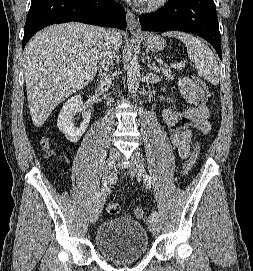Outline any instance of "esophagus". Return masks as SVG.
I'll use <instances>...</instances> for the list:
<instances>
[{
  "instance_id": "34e87169",
  "label": "esophagus",
  "mask_w": 253,
  "mask_h": 271,
  "mask_svg": "<svg viewBox=\"0 0 253 271\" xmlns=\"http://www.w3.org/2000/svg\"><path fill=\"white\" fill-rule=\"evenodd\" d=\"M126 17H127L128 30L133 34H139L141 32V29H140V26L138 24L135 14L131 10L127 9Z\"/></svg>"
}]
</instances>
